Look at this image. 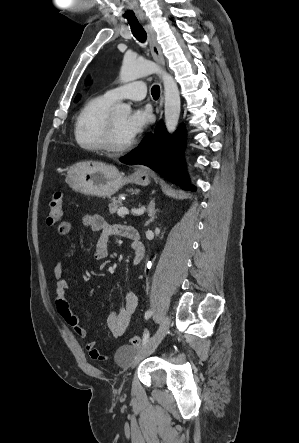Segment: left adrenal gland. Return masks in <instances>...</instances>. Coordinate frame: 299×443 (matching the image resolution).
Segmentation results:
<instances>
[{
	"mask_svg": "<svg viewBox=\"0 0 299 443\" xmlns=\"http://www.w3.org/2000/svg\"><path fill=\"white\" fill-rule=\"evenodd\" d=\"M157 211L158 210L155 209V202L154 200H152L147 209L149 220L146 222L145 224L146 226L152 223L155 220V218H157L156 216Z\"/></svg>",
	"mask_w": 299,
	"mask_h": 443,
	"instance_id": "left-adrenal-gland-1",
	"label": "left adrenal gland"
}]
</instances>
